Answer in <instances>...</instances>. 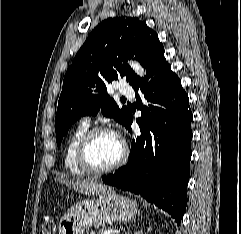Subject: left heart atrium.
Instances as JSON below:
<instances>
[{"label": "left heart atrium", "mask_w": 241, "mask_h": 234, "mask_svg": "<svg viewBox=\"0 0 241 234\" xmlns=\"http://www.w3.org/2000/svg\"><path fill=\"white\" fill-rule=\"evenodd\" d=\"M115 134V136L121 141V142H123V140H122V136H121V134L120 133H114Z\"/></svg>", "instance_id": "left-heart-atrium-1"}]
</instances>
